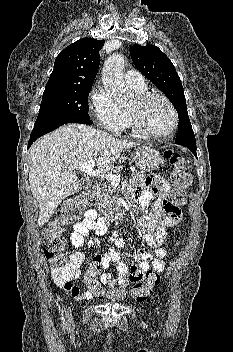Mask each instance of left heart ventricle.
<instances>
[{"label": "left heart ventricle", "instance_id": "obj_1", "mask_svg": "<svg viewBox=\"0 0 233 352\" xmlns=\"http://www.w3.org/2000/svg\"><path fill=\"white\" fill-rule=\"evenodd\" d=\"M129 111L138 114L142 126L149 132L163 133L171 127L172 113L161 99H153L143 107H139L136 100Z\"/></svg>", "mask_w": 233, "mask_h": 352}]
</instances>
